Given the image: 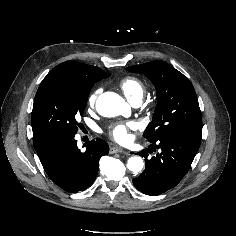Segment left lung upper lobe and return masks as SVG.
Here are the masks:
<instances>
[{"instance_id":"5c2ea615","label":"left lung upper lobe","mask_w":236,"mask_h":236,"mask_svg":"<svg viewBox=\"0 0 236 236\" xmlns=\"http://www.w3.org/2000/svg\"><path fill=\"white\" fill-rule=\"evenodd\" d=\"M127 70L144 73L156 88L157 106L144 132L149 142L172 136L201 141V111L194 87L186 76L163 61L130 66Z\"/></svg>"}]
</instances>
